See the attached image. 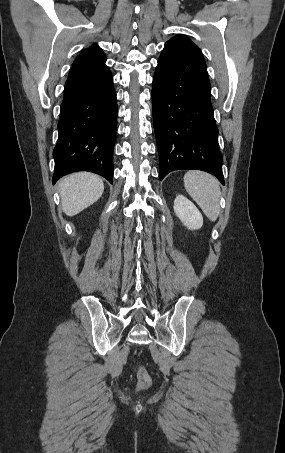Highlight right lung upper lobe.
I'll list each match as a JSON object with an SVG mask.
<instances>
[{
	"label": "right lung upper lobe",
	"instance_id": "cb5924a9",
	"mask_svg": "<svg viewBox=\"0 0 285 453\" xmlns=\"http://www.w3.org/2000/svg\"><path fill=\"white\" fill-rule=\"evenodd\" d=\"M106 55L97 44H93L88 49L82 50L72 65L85 67L105 65Z\"/></svg>",
	"mask_w": 285,
	"mask_h": 453
}]
</instances>
